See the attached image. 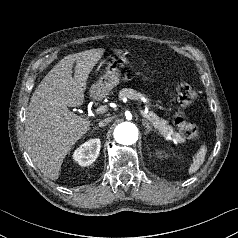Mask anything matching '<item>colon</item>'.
Segmentation results:
<instances>
[{
  "label": "colon",
  "instance_id": "obj_1",
  "mask_svg": "<svg viewBox=\"0 0 238 238\" xmlns=\"http://www.w3.org/2000/svg\"><path fill=\"white\" fill-rule=\"evenodd\" d=\"M176 97L181 108L188 107L196 99L195 90L187 83H180L176 87ZM179 133L186 139H194L199 135V128L196 124L188 121L182 112L177 113L173 118Z\"/></svg>",
  "mask_w": 238,
  "mask_h": 238
}]
</instances>
